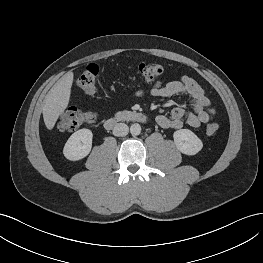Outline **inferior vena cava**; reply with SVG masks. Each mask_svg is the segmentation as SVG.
<instances>
[{
    "mask_svg": "<svg viewBox=\"0 0 263 263\" xmlns=\"http://www.w3.org/2000/svg\"><path fill=\"white\" fill-rule=\"evenodd\" d=\"M129 132V127L125 123H118L113 128L114 136H126Z\"/></svg>",
    "mask_w": 263,
    "mask_h": 263,
    "instance_id": "obj_1",
    "label": "inferior vena cava"
}]
</instances>
